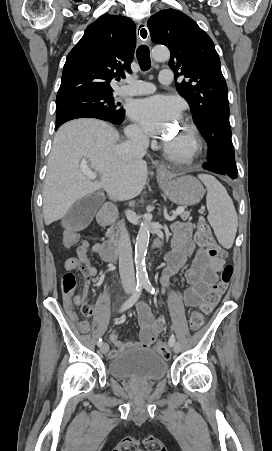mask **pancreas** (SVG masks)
Segmentation results:
<instances>
[{
	"label": "pancreas",
	"instance_id": "cf45deb5",
	"mask_svg": "<svg viewBox=\"0 0 272 451\" xmlns=\"http://www.w3.org/2000/svg\"><path fill=\"white\" fill-rule=\"evenodd\" d=\"M189 216H190V212H182V214H180V218H182V220H188ZM119 233H120V229L118 226H111V227H109L106 235H107V237H111V239H112V241H114V243H118Z\"/></svg>",
	"mask_w": 272,
	"mask_h": 451
}]
</instances>
